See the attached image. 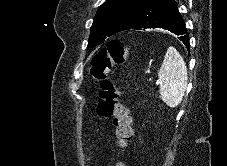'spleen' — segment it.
<instances>
[{"label":"spleen","mask_w":227,"mask_h":166,"mask_svg":"<svg viewBox=\"0 0 227 166\" xmlns=\"http://www.w3.org/2000/svg\"><path fill=\"white\" fill-rule=\"evenodd\" d=\"M158 78L162 101L171 108L178 106L187 86L188 75L185 62L174 47L167 49Z\"/></svg>","instance_id":"1"}]
</instances>
